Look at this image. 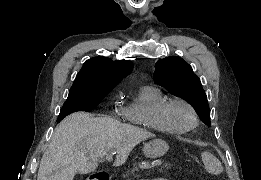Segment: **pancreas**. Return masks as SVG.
Masks as SVG:
<instances>
[{
	"mask_svg": "<svg viewBox=\"0 0 261 180\" xmlns=\"http://www.w3.org/2000/svg\"><path fill=\"white\" fill-rule=\"evenodd\" d=\"M147 163H152V160L147 159H134L132 165H129V169L122 172L123 176H131L132 178H140L144 175L143 166H146ZM154 170H173V167L176 166V163L172 162L170 159H160L155 160Z\"/></svg>",
	"mask_w": 261,
	"mask_h": 180,
	"instance_id": "1",
	"label": "pancreas"
}]
</instances>
